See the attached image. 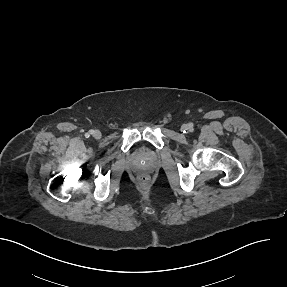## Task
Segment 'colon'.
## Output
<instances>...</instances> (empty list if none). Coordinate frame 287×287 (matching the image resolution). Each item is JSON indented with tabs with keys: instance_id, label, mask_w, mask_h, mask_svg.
Segmentation results:
<instances>
[{
	"instance_id": "5ec220e1",
	"label": "colon",
	"mask_w": 287,
	"mask_h": 287,
	"mask_svg": "<svg viewBox=\"0 0 287 287\" xmlns=\"http://www.w3.org/2000/svg\"><path fill=\"white\" fill-rule=\"evenodd\" d=\"M138 182L142 186H147L149 183V177L145 174H142L138 177Z\"/></svg>"
}]
</instances>
